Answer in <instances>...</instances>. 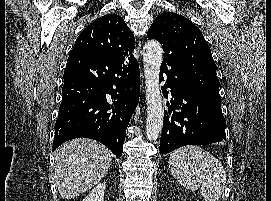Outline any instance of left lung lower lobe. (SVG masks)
<instances>
[{
	"instance_id": "obj_1",
	"label": "left lung lower lobe",
	"mask_w": 271,
	"mask_h": 201,
	"mask_svg": "<svg viewBox=\"0 0 271 201\" xmlns=\"http://www.w3.org/2000/svg\"><path fill=\"white\" fill-rule=\"evenodd\" d=\"M167 81L162 87L164 97L171 89L172 99L164 109L163 131L160 139V153L166 154L185 145H205L222 142L225 131L213 111L203 98L187 85L180 70L172 62H162L160 81Z\"/></svg>"
}]
</instances>
